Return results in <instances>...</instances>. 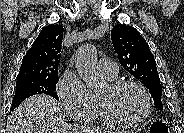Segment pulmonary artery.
Wrapping results in <instances>:
<instances>
[{
  "mask_svg": "<svg viewBox=\"0 0 184 133\" xmlns=\"http://www.w3.org/2000/svg\"><path fill=\"white\" fill-rule=\"evenodd\" d=\"M99 68L101 72L107 76V77H116L118 74V68L116 63L109 59V58H103L99 61Z\"/></svg>",
  "mask_w": 184,
  "mask_h": 133,
  "instance_id": "1",
  "label": "pulmonary artery"
}]
</instances>
